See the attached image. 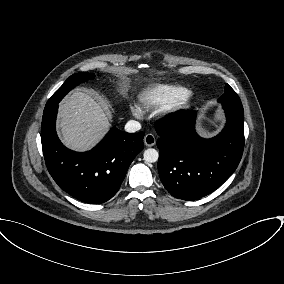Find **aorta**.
Masks as SVG:
<instances>
[{
    "mask_svg": "<svg viewBox=\"0 0 284 284\" xmlns=\"http://www.w3.org/2000/svg\"><path fill=\"white\" fill-rule=\"evenodd\" d=\"M159 153L154 148H148L144 151L143 158L148 163H154L158 160Z\"/></svg>",
    "mask_w": 284,
    "mask_h": 284,
    "instance_id": "762f6f07",
    "label": "aorta"
}]
</instances>
